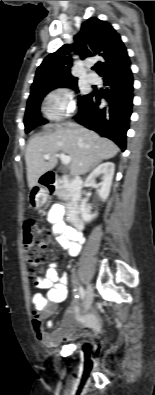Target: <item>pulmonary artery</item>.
<instances>
[{
    "mask_svg": "<svg viewBox=\"0 0 155 395\" xmlns=\"http://www.w3.org/2000/svg\"><path fill=\"white\" fill-rule=\"evenodd\" d=\"M87 81L89 83H97L99 81V78L97 75L91 73L87 75Z\"/></svg>",
    "mask_w": 155,
    "mask_h": 395,
    "instance_id": "pulmonary-artery-1",
    "label": "pulmonary artery"
}]
</instances>
